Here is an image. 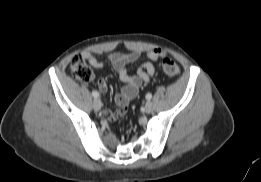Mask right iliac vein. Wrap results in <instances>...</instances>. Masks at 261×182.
Wrapping results in <instances>:
<instances>
[{
	"label": "right iliac vein",
	"instance_id": "63e3f726",
	"mask_svg": "<svg viewBox=\"0 0 261 182\" xmlns=\"http://www.w3.org/2000/svg\"><path fill=\"white\" fill-rule=\"evenodd\" d=\"M102 107V102L99 99H94L93 100V108L95 111H99Z\"/></svg>",
	"mask_w": 261,
	"mask_h": 182
}]
</instances>
